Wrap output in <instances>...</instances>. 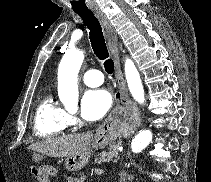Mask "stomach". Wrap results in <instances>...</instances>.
Returning <instances> with one entry per match:
<instances>
[{
    "instance_id": "0dacf381",
    "label": "stomach",
    "mask_w": 211,
    "mask_h": 182,
    "mask_svg": "<svg viewBox=\"0 0 211 182\" xmlns=\"http://www.w3.org/2000/svg\"><path fill=\"white\" fill-rule=\"evenodd\" d=\"M119 133L113 129L99 131L92 140L91 146L84 152L75 156L67 157L65 160V167L68 171L75 172L81 170L87 165L92 155L93 149L98 147H105L114 143ZM40 155H33V160L39 161Z\"/></svg>"
}]
</instances>
